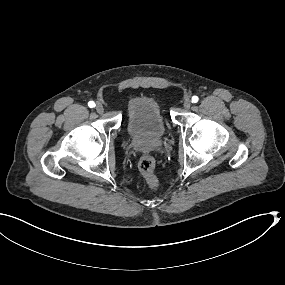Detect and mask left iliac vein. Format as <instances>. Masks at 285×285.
<instances>
[{"label":"left iliac vein","mask_w":285,"mask_h":285,"mask_svg":"<svg viewBox=\"0 0 285 285\" xmlns=\"http://www.w3.org/2000/svg\"><path fill=\"white\" fill-rule=\"evenodd\" d=\"M183 106L185 109H189L191 107V100L189 98H186L183 102Z\"/></svg>","instance_id":"4c4485c4"}]
</instances>
